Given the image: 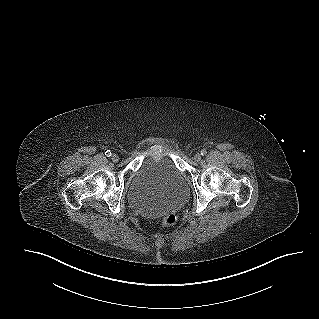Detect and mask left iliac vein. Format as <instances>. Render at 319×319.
<instances>
[{
  "mask_svg": "<svg viewBox=\"0 0 319 319\" xmlns=\"http://www.w3.org/2000/svg\"><path fill=\"white\" fill-rule=\"evenodd\" d=\"M201 154L200 153H196L193 157L194 161L199 162L201 160Z\"/></svg>",
  "mask_w": 319,
  "mask_h": 319,
  "instance_id": "4c4485c4",
  "label": "left iliac vein"
}]
</instances>
